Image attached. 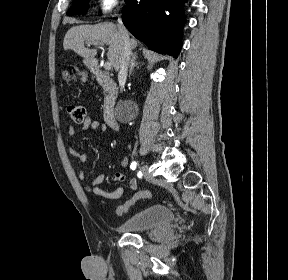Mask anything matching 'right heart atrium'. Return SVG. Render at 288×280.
<instances>
[{
  "label": "right heart atrium",
  "mask_w": 288,
  "mask_h": 280,
  "mask_svg": "<svg viewBox=\"0 0 288 280\" xmlns=\"http://www.w3.org/2000/svg\"><path fill=\"white\" fill-rule=\"evenodd\" d=\"M119 3V0H97L96 10L101 15L110 13Z\"/></svg>",
  "instance_id": "d8ad5b80"
}]
</instances>
